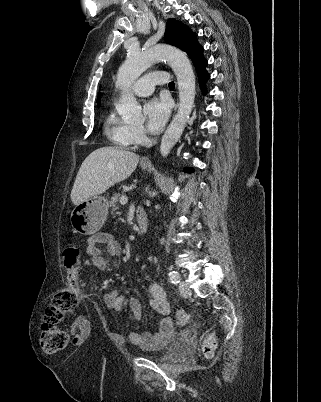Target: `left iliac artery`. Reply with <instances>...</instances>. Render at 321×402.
<instances>
[{"label":"left iliac artery","mask_w":321,"mask_h":402,"mask_svg":"<svg viewBox=\"0 0 321 402\" xmlns=\"http://www.w3.org/2000/svg\"><path fill=\"white\" fill-rule=\"evenodd\" d=\"M169 279H170L171 283H173L175 285L180 282V276H179L178 272H176V271H171L169 273Z\"/></svg>","instance_id":"1"}]
</instances>
